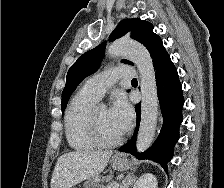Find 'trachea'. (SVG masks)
Returning <instances> with one entry per match:
<instances>
[{"instance_id":"obj_1","label":"trachea","mask_w":224,"mask_h":188,"mask_svg":"<svg viewBox=\"0 0 224 188\" xmlns=\"http://www.w3.org/2000/svg\"><path fill=\"white\" fill-rule=\"evenodd\" d=\"M131 82L132 83H137V79L136 78H133Z\"/></svg>"}]
</instances>
